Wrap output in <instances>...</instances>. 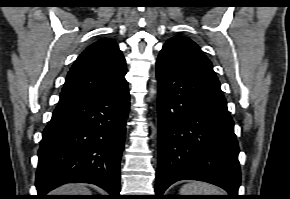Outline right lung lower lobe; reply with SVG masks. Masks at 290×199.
<instances>
[{
  "label": "right lung lower lobe",
  "mask_w": 290,
  "mask_h": 199,
  "mask_svg": "<svg viewBox=\"0 0 290 199\" xmlns=\"http://www.w3.org/2000/svg\"><path fill=\"white\" fill-rule=\"evenodd\" d=\"M130 99L120 88L82 101L58 105L42 133L36 199L65 183L95 184L108 199H119L120 159Z\"/></svg>",
  "instance_id": "right-lung-lower-lobe-1"
}]
</instances>
